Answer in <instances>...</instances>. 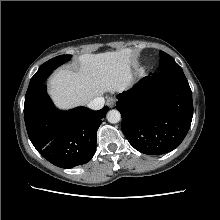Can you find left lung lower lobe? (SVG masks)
<instances>
[{
    "label": "left lung lower lobe",
    "instance_id": "1",
    "mask_svg": "<svg viewBox=\"0 0 220 220\" xmlns=\"http://www.w3.org/2000/svg\"><path fill=\"white\" fill-rule=\"evenodd\" d=\"M117 98L121 129L141 153L157 155L174 150L190 128L193 100L183 71L154 73Z\"/></svg>",
    "mask_w": 220,
    "mask_h": 220
}]
</instances>
